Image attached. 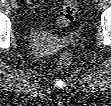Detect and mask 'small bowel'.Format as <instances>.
<instances>
[{"instance_id": "1", "label": "small bowel", "mask_w": 111, "mask_h": 106, "mask_svg": "<svg viewBox=\"0 0 111 106\" xmlns=\"http://www.w3.org/2000/svg\"><path fill=\"white\" fill-rule=\"evenodd\" d=\"M30 5L37 7L40 5V1L39 0H31L29 1Z\"/></svg>"}]
</instances>
